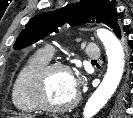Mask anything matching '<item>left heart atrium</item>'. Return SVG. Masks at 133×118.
<instances>
[{"label":"left heart atrium","mask_w":133,"mask_h":118,"mask_svg":"<svg viewBox=\"0 0 133 118\" xmlns=\"http://www.w3.org/2000/svg\"><path fill=\"white\" fill-rule=\"evenodd\" d=\"M71 87L72 90L77 93L80 87V79L79 77L71 75Z\"/></svg>","instance_id":"39dd6f15"}]
</instances>
